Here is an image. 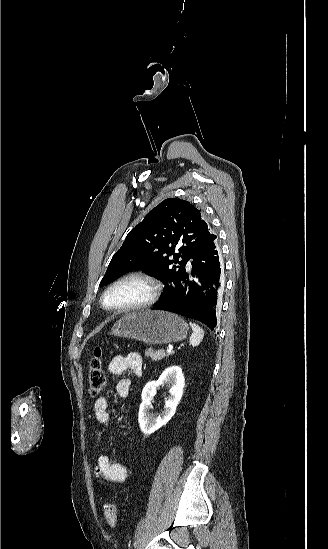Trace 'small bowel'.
Instances as JSON below:
<instances>
[{
  "mask_svg": "<svg viewBox=\"0 0 328 549\" xmlns=\"http://www.w3.org/2000/svg\"><path fill=\"white\" fill-rule=\"evenodd\" d=\"M143 368V360L140 354L132 352L126 356H114L108 365L109 372L114 375H121L126 371H131L140 375ZM131 382L128 378L120 379L116 384V392L119 397L126 399L129 395ZM94 416L99 424L96 429V440L100 450H103V437L106 428L110 425L111 415L109 401L105 397H100L94 402ZM96 473L100 480L110 483H122L128 477L127 468L121 463L113 461L103 451L96 460Z\"/></svg>",
  "mask_w": 328,
  "mask_h": 549,
  "instance_id": "small-bowel-1",
  "label": "small bowel"
}]
</instances>
